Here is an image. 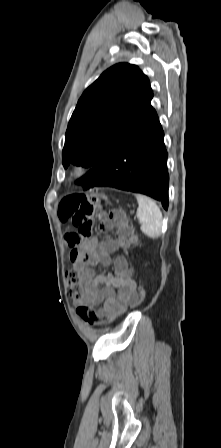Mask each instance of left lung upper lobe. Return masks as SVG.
I'll return each mask as SVG.
<instances>
[{"label": "left lung upper lobe", "mask_w": 221, "mask_h": 448, "mask_svg": "<svg viewBox=\"0 0 221 448\" xmlns=\"http://www.w3.org/2000/svg\"><path fill=\"white\" fill-rule=\"evenodd\" d=\"M147 76L135 65L107 69L82 94L69 121L62 151L70 163L99 168L148 117L153 107Z\"/></svg>", "instance_id": "5c2ea615"}]
</instances>
